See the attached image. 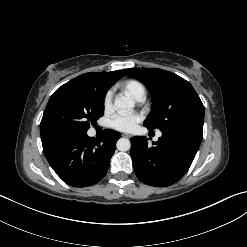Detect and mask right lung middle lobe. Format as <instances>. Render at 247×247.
<instances>
[{
  "instance_id": "dd1d6c3e",
  "label": "right lung middle lobe",
  "mask_w": 247,
  "mask_h": 247,
  "mask_svg": "<svg viewBox=\"0 0 247 247\" xmlns=\"http://www.w3.org/2000/svg\"><path fill=\"white\" fill-rule=\"evenodd\" d=\"M106 92L85 81L57 90L49 99L41 123V138L81 136L104 113Z\"/></svg>"
}]
</instances>
